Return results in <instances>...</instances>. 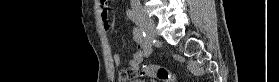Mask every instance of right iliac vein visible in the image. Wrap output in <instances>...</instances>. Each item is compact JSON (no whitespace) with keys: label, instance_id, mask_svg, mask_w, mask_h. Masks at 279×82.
Instances as JSON below:
<instances>
[{"label":"right iliac vein","instance_id":"1","mask_svg":"<svg viewBox=\"0 0 279 82\" xmlns=\"http://www.w3.org/2000/svg\"><path fill=\"white\" fill-rule=\"evenodd\" d=\"M132 8L133 11L137 13L139 17L142 19L146 27V30L148 32L149 38L154 39L156 37V30H155V24L153 19L150 16H148L146 11L142 7L138 6L137 4L133 3Z\"/></svg>","mask_w":279,"mask_h":82}]
</instances>
